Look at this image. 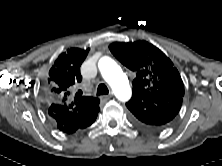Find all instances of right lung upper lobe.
<instances>
[{"mask_svg":"<svg viewBox=\"0 0 222 166\" xmlns=\"http://www.w3.org/2000/svg\"><path fill=\"white\" fill-rule=\"evenodd\" d=\"M89 49L71 48L61 53L51 67L44 84V95L51 104H71L69 107L77 118L89 121L98 110L99 99L76 94L71 96V89L81 82L80 66L85 60Z\"/></svg>","mask_w":222,"mask_h":166,"instance_id":"right-lung-upper-lobe-1","label":"right lung upper lobe"}]
</instances>
